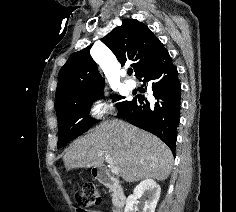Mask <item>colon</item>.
Instances as JSON below:
<instances>
[{"label": "colon", "mask_w": 236, "mask_h": 212, "mask_svg": "<svg viewBox=\"0 0 236 212\" xmlns=\"http://www.w3.org/2000/svg\"><path fill=\"white\" fill-rule=\"evenodd\" d=\"M74 200L82 208L80 212H89V208L101 203V196L94 183L82 181L74 192Z\"/></svg>", "instance_id": "5ec220e1"}]
</instances>
